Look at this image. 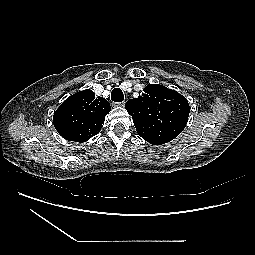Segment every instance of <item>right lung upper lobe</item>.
<instances>
[{"label": "right lung upper lobe", "mask_w": 255, "mask_h": 255, "mask_svg": "<svg viewBox=\"0 0 255 255\" xmlns=\"http://www.w3.org/2000/svg\"><path fill=\"white\" fill-rule=\"evenodd\" d=\"M110 110L106 99L83 90L68 97L55 111L54 127L66 140L86 142L99 133Z\"/></svg>", "instance_id": "1"}]
</instances>
